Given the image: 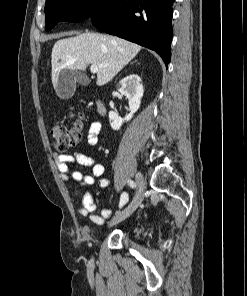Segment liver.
Returning <instances> with one entry per match:
<instances>
[{
	"label": "liver",
	"instance_id": "obj_1",
	"mask_svg": "<svg viewBox=\"0 0 247 296\" xmlns=\"http://www.w3.org/2000/svg\"><path fill=\"white\" fill-rule=\"evenodd\" d=\"M141 50V46L116 36L82 33L58 40L52 49V84L57 88L63 70H86L87 65H103L97 71L98 86L110 82Z\"/></svg>",
	"mask_w": 247,
	"mask_h": 296
}]
</instances>
